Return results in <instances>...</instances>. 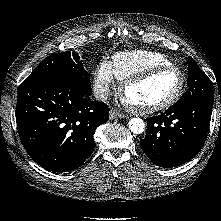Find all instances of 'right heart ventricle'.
Masks as SVG:
<instances>
[{
	"label": "right heart ventricle",
	"instance_id": "obj_1",
	"mask_svg": "<svg viewBox=\"0 0 221 221\" xmlns=\"http://www.w3.org/2000/svg\"><path fill=\"white\" fill-rule=\"evenodd\" d=\"M109 63L114 76L120 81L150 67L173 65L165 55L149 50L118 52Z\"/></svg>",
	"mask_w": 221,
	"mask_h": 221
}]
</instances>
